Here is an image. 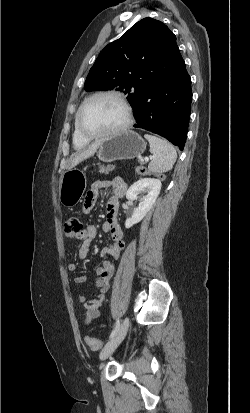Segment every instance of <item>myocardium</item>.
<instances>
[{
	"label": "myocardium",
	"mask_w": 250,
	"mask_h": 413,
	"mask_svg": "<svg viewBox=\"0 0 250 413\" xmlns=\"http://www.w3.org/2000/svg\"><path fill=\"white\" fill-rule=\"evenodd\" d=\"M101 96H110V97H114L115 99H117L124 107L125 112H126V118L124 123L119 126L116 129H113L111 131L108 132H104V133H89L87 132L82 124V117H83V113L84 110L86 108V106L95 98L97 97H101ZM133 123V110L131 105L129 104V102L127 101V99L124 97L123 94H121L118 91H114V90H103V91H98L93 93L92 95H90L89 97H87L83 103L81 104V106L78 109V113H77V118H76V125H77V129L78 132L80 133V135L88 140H95V139H104V138H108V137H113L116 135H119L123 132H125Z\"/></svg>",
	"instance_id": "myocardium-1"
}]
</instances>
